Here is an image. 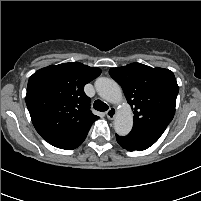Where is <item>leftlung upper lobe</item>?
<instances>
[{
    "label": "left lung upper lobe",
    "instance_id": "obj_1",
    "mask_svg": "<svg viewBox=\"0 0 201 201\" xmlns=\"http://www.w3.org/2000/svg\"><path fill=\"white\" fill-rule=\"evenodd\" d=\"M109 74L134 110L132 130L163 134L174 117L179 92L173 72L131 63L111 68Z\"/></svg>",
    "mask_w": 201,
    "mask_h": 201
}]
</instances>
